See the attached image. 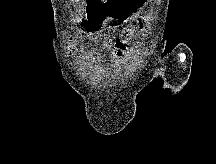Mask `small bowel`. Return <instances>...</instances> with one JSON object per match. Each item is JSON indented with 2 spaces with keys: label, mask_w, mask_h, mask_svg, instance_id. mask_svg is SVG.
Masks as SVG:
<instances>
[{
  "label": "small bowel",
  "mask_w": 216,
  "mask_h": 164,
  "mask_svg": "<svg viewBox=\"0 0 216 164\" xmlns=\"http://www.w3.org/2000/svg\"><path fill=\"white\" fill-rule=\"evenodd\" d=\"M134 34V27L128 26L121 35V39L114 41L112 36H107L104 39L103 47L105 50H111L114 58H120L124 55L127 45L130 44L131 38Z\"/></svg>",
  "instance_id": "small-bowel-1"
}]
</instances>
